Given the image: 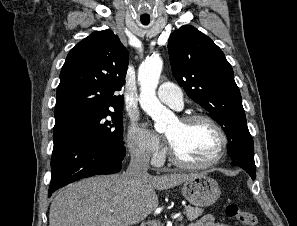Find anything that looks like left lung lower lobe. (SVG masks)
<instances>
[{"mask_svg": "<svg viewBox=\"0 0 297 226\" xmlns=\"http://www.w3.org/2000/svg\"><path fill=\"white\" fill-rule=\"evenodd\" d=\"M231 165L243 168L254 180L256 177V166L254 161H233Z\"/></svg>", "mask_w": 297, "mask_h": 226, "instance_id": "obj_1", "label": "left lung lower lobe"}]
</instances>
